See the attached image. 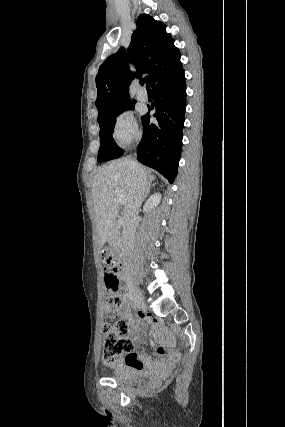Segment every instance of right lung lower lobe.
<instances>
[{
    "mask_svg": "<svg viewBox=\"0 0 285 427\" xmlns=\"http://www.w3.org/2000/svg\"><path fill=\"white\" fill-rule=\"evenodd\" d=\"M152 91L151 108L155 109L153 116L157 122H150L149 113L142 117L143 136L137 148L138 160L173 183L180 160L186 110L184 71Z\"/></svg>",
    "mask_w": 285,
    "mask_h": 427,
    "instance_id": "98d812e1",
    "label": "right lung lower lobe"
}]
</instances>
